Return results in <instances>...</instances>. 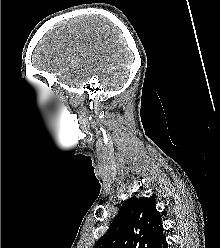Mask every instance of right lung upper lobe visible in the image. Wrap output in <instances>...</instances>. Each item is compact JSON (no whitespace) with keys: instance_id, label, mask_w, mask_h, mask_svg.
<instances>
[{"instance_id":"1","label":"right lung upper lobe","mask_w":220,"mask_h":248,"mask_svg":"<svg viewBox=\"0 0 220 248\" xmlns=\"http://www.w3.org/2000/svg\"><path fill=\"white\" fill-rule=\"evenodd\" d=\"M160 213L148 197H131L94 248H156L164 239Z\"/></svg>"}]
</instances>
